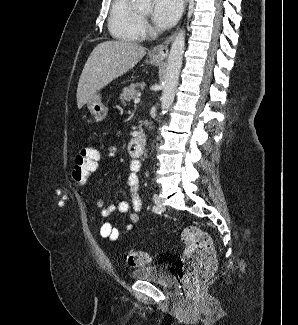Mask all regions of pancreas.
<instances>
[{"label":"pancreas","mask_w":298,"mask_h":325,"mask_svg":"<svg viewBox=\"0 0 298 325\" xmlns=\"http://www.w3.org/2000/svg\"><path fill=\"white\" fill-rule=\"evenodd\" d=\"M141 82H132L129 86H124L122 92L119 94V100H121L123 106H126L127 102H130L132 98H136L139 90L137 86H140Z\"/></svg>","instance_id":"cf45deb5"}]
</instances>
